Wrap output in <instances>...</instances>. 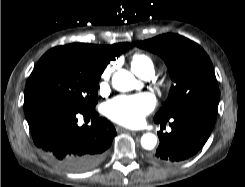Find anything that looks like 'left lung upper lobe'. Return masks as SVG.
Segmentation results:
<instances>
[{
    "mask_svg": "<svg viewBox=\"0 0 245 187\" xmlns=\"http://www.w3.org/2000/svg\"><path fill=\"white\" fill-rule=\"evenodd\" d=\"M136 45L160 55L173 81L168 99L154 119L168 120L187 111L218 107L220 92L213 65L198 44L168 33Z\"/></svg>",
    "mask_w": 245,
    "mask_h": 187,
    "instance_id": "1",
    "label": "left lung upper lobe"
}]
</instances>
